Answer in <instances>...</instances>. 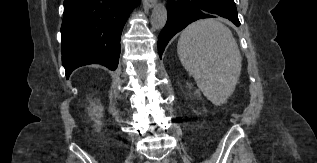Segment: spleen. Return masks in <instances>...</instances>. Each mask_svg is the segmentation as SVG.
<instances>
[{
  "label": "spleen",
  "instance_id": "3e777b00",
  "mask_svg": "<svg viewBox=\"0 0 317 163\" xmlns=\"http://www.w3.org/2000/svg\"><path fill=\"white\" fill-rule=\"evenodd\" d=\"M177 53L208 100L219 106L233 93L242 58L232 32L215 19L198 20L180 35Z\"/></svg>",
  "mask_w": 317,
  "mask_h": 163
}]
</instances>
